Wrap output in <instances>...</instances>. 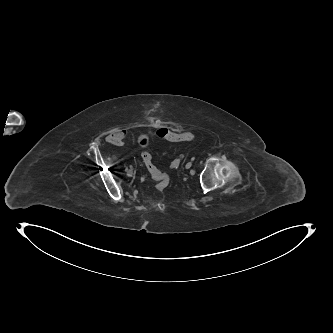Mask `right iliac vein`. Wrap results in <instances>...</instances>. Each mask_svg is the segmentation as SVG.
<instances>
[{
	"label": "right iliac vein",
	"instance_id": "1",
	"mask_svg": "<svg viewBox=\"0 0 333 333\" xmlns=\"http://www.w3.org/2000/svg\"><path fill=\"white\" fill-rule=\"evenodd\" d=\"M127 176H129V177L132 176V170H130V171L127 173Z\"/></svg>",
	"mask_w": 333,
	"mask_h": 333
}]
</instances>
